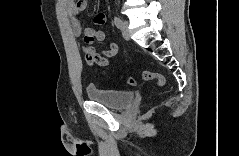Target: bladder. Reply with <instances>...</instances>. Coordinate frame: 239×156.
<instances>
[{
    "instance_id": "bladder-1",
    "label": "bladder",
    "mask_w": 239,
    "mask_h": 156,
    "mask_svg": "<svg viewBox=\"0 0 239 156\" xmlns=\"http://www.w3.org/2000/svg\"><path fill=\"white\" fill-rule=\"evenodd\" d=\"M86 96L90 101L100 103L111 110L121 111L133 103L135 92L89 86L86 88Z\"/></svg>"
}]
</instances>
